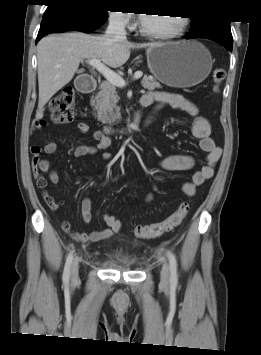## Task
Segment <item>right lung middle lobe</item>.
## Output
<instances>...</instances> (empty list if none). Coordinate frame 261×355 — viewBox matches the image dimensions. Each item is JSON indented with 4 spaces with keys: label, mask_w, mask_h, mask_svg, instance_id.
Instances as JSON below:
<instances>
[{
    "label": "right lung middle lobe",
    "mask_w": 261,
    "mask_h": 355,
    "mask_svg": "<svg viewBox=\"0 0 261 355\" xmlns=\"http://www.w3.org/2000/svg\"><path fill=\"white\" fill-rule=\"evenodd\" d=\"M95 0H83L80 2L68 3L78 6L80 9L85 10L86 12L92 14L98 18H107V11L97 5Z\"/></svg>",
    "instance_id": "right-lung-middle-lobe-1"
}]
</instances>
